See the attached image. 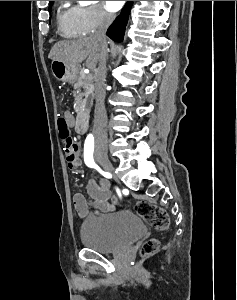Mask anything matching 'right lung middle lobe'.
I'll use <instances>...</instances> for the list:
<instances>
[{"mask_svg": "<svg viewBox=\"0 0 237 300\" xmlns=\"http://www.w3.org/2000/svg\"><path fill=\"white\" fill-rule=\"evenodd\" d=\"M52 2H53V1H52ZM52 2L50 3L49 11H50V8H51V4H52Z\"/></svg>", "mask_w": 237, "mask_h": 300, "instance_id": "dd1d6c3e", "label": "right lung middle lobe"}]
</instances>
